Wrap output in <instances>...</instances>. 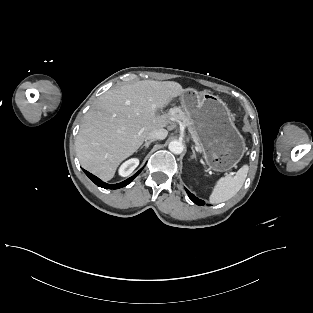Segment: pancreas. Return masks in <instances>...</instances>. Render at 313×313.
<instances>
[{
	"label": "pancreas",
	"mask_w": 313,
	"mask_h": 313,
	"mask_svg": "<svg viewBox=\"0 0 313 313\" xmlns=\"http://www.w3.org/2000/svg\"><path fill=\"white\" fill-rule=\"evenodd\" d=\"M176 120L182 121L183 124H185L188 127L189 132L191 133V136L195 142V144L198 146V137L195 134V130L192 127V122L190 118L180 109H178L175 117ZM199 147V146H198ZM199 150L201 151V148L199 147Z\"/></svg>",
	"instance_id": "pancreas-1"
}]
</instances>
